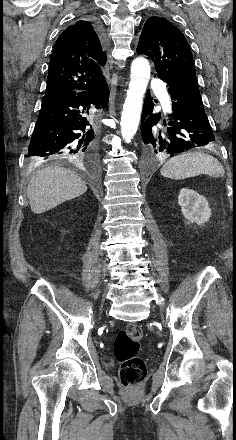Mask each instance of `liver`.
<instances>
[{
	"instance_id": "obj_1",
	"label": "liver",
	"mask_w": 236,
	"mask_h": 440,
	"mask_svg": "<svg viewBox=\"0 0 236 440\" xmlns=\"http://www.w3.org/2000/svg\"><path fill=\"white\" fill-rule=\"evenodd\" d=\"M87 191L85 182L63 167L37 171L28 185L27 196L33 213L41 214Z\"/></svg>"
}]
</instances>
